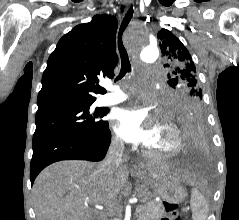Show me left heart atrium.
Returning <instances> with one entry per match:
<instances>
[{
	"mask_svg": "<svg viewBox=\"0 0 239 220\" xmlns=\"http://www.w3.org/2000/svg\"><path fill=\"white\" fill-rule=\"evenodd\" d=\"M115 130L127 142L147 144L153 136L156 117L142 105L118 111L114 115Z\"/></svg>",
	"mask_w": 239,
	"mask_h": 220,
	"instance_id": "39dd6f15",
	"label": "left heart atrium"
}]
</instances>
